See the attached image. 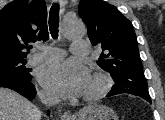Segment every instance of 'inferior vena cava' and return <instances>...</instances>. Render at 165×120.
<instances>
[{
	"label": "inferior vena cava",
	"mask_w": 165,
	"mask_h": 120,
	"mask_svg": "<svg viewBox=\"0 0 165 120\" xmlns=\"http://www.w3.org/2000/svg\"><path fill=\"white\" fill-rule=\"evenodd\" d=\"M39 98L41 99L42 103L47 106H52L59 102L57 97L46 93H39Z\"/></svg>",
	"instance_id": "1"
}]
</instances>
